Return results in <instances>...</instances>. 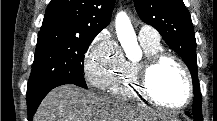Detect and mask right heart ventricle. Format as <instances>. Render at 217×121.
Wrapping results in <instances>:
<instances>
[{
  "instance_id": "e07e8e85",
  "label": "right heart ventricle",
  "mask_w": 217,
  "mask_h": 121,
  "mask_svg": "<svg viewBox=\"0 0 217 121\" xmlns=\"http://www.w3.org/2000/svg\"><path fill=\"white\" fill-rule=\"evenodd\" d=\"M146 56L163 51L160 43L140 41ZM137 62L124 60L117 76L112 80L107 89L116 97L134 99L140 96L136 82Z\"/></svg>"
}]
</instances>
